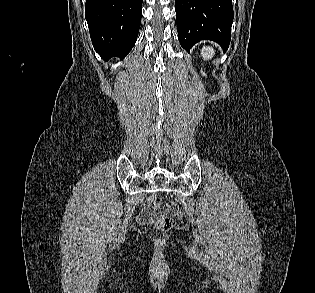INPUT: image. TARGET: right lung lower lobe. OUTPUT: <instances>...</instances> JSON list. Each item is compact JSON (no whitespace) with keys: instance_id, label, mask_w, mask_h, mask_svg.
Here are the masks:
<instances>
[{"instance_id":"right-lung-lower-lobe-1","label":"right lung lower lobe","mask_w":315,"mask_h":293,"mask_svg":"<svg viewBox=\"0 0 315 293\" xmlns=\"http://www.w3.org/2000/svg\"><path fill=\"white\" fill-rule=\"evenodd\" d=\"M141 16V0H86L85 18L96 52L104 60L125 57L137 40Z\"/></svg>"}]
</instances>
